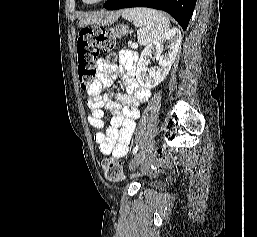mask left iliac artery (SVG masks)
<instances>
[{"label":"left iliac artery","instance_id":"44dca946","mask_svg":"<svg viewBox=\"0 0 257 237\" xmlns=\"http://www.w3.org/2000/svg\"><path fill=\"white\" fill-rule=\"evenodd\" d=\"M139 149V145H136L132 151L133 154H136Z\"/></svg>","mask_w":257,"mask_h":237}]
</instances>
